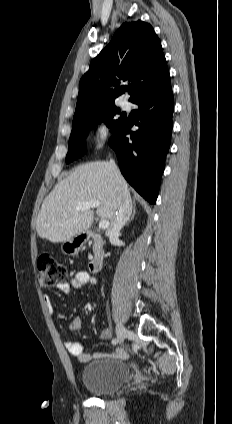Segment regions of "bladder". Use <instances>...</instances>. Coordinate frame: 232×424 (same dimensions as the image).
<instances>
[{
  "mask_svg": "<svg viewBox=\"0 0 232 424\" xmlns=\"http://www.w3.org/2000/svg\"><path fill=\"white\" fill-rule=\"evenodd\" d=\"M129 375L130 369L126 362L104 358L91 361L83 367L81 382L95 395L106 396L118 391Z\"/></svg>",
  "mask_w": 232,
  "mask_h": 424,
  "instance_id": "31cf9c89",
  "label": "bladder"
}]
</instances>
